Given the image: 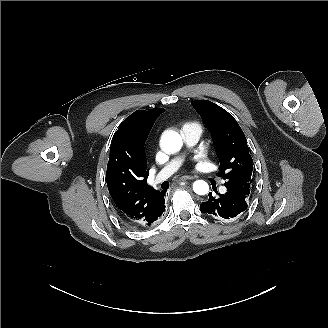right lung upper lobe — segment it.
<instances>
[{
  "mask_svg": "<svg viewBox=\"0 0 328 328\" xmlns=\"http://www.w3.org/2000/svg\"><path fill=\"white\" fill-rule=\"evenodd\" d=\"M162 108L137 110L119 126L111 141L106 181L118 214L129 225L149 221L162 192L147 184L144 144Z\"/></svg>",
  "mask_w": 328,
  "mask_h": 328,
  "instance_id": "right-lung-upper-lobe-1",
  "label": "right lung upper lobe"
}]
</instances>
